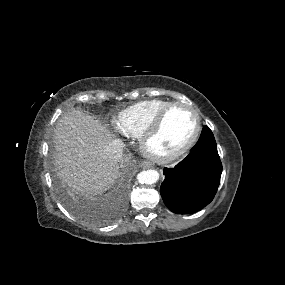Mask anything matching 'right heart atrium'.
<instances>
[{
	"mask_svg": "<svg viewBox=\"0 0 285 285\" xmlns=\"http://www.w3.org/2000/svg\"><path fill=\"white\" fill-rule=\"evenodd\" d=\"M115 128H116V130H118V128H117V126H116V123H115ZM119 131V130H118Z\"/></svg>",
	"mask_w": 285,
	"mask_h": 285,
	"instance_id": "d8ad5b80",
	"label": "right heart atrium"
}]
</instances>
